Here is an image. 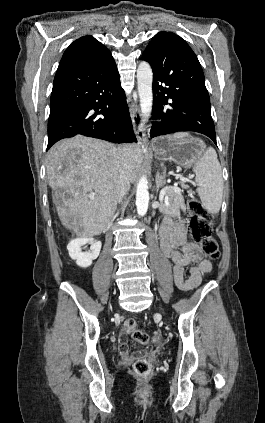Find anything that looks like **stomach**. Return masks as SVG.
<instances>
[{
  "label": "stomach",
  "mask_w": 265,
  "mask_h": 423,
  "mask_svg": "<svg viewBox=\"0 0 265 423\" xmlns=\"http://www.w3.org/2000/svg\"><path fill=\"white\" fill-rule=\"evenodd\" d=\"M154 154L158 160L174 161L176 164L191 167L205 153V143L195 137L175 139L172 136L161 137L156 141Z\"/></svg>",
  "instance_id": "obj_1"
}]
</instances>
